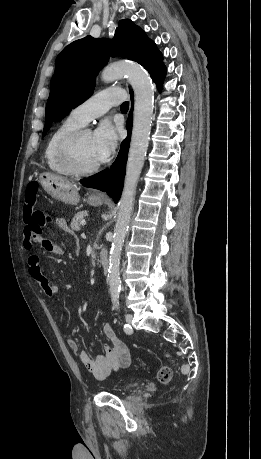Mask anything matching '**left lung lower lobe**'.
Listing matches in <instances>:
<instances>
[{"label":"left lung lower lobe","instance_id":"left-lung-lower-lobe-1","mask_svg":"<svg viewBox=\"0 0 261 459\" xmlns=\"http://www.w3.org/2000/svg\"><path fill=\"white\" fill-rule=\"evenodd\" d=\"M165 74L166 68L164 66L152 77L159 91L162 88ZM130 92L131 96L133 97L132 91ZM126 127L128 129V132L130 133L132 128V111L129 115ZM129 143L130 136H128L123 141L119 154L111 168L105 169L104 171L90 177L87 180H82L81 183L83 184V186L106 191L107 194L113 198L114 202L117 203L121 196L123 188Z\"/></svg>","mask_w":261,"mask_h":459}]
</instances>
